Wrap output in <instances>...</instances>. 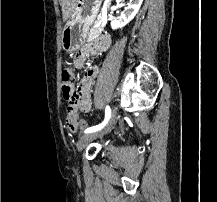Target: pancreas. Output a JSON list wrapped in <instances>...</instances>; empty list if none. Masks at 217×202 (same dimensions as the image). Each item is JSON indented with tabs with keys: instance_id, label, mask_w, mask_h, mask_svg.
<instances>
[{
	"instance_id": "cf45deb5",
	"label": "pancreas",
	"mask_w": 217,
	"mask_h": 202,
	"mask_svg": "<svg viewBox=\"0 0 217 202\" xmlns=\"http://www.w3.org/2000/svg\"><path fill=\"white\" fill-rule=\"evenodd\" d=\"M100 34V31L99 30H92V31H90V33L88 34V40L89 41H94V38H96L97 37V35H99Z\"/></svg>"
}]
</instances>
